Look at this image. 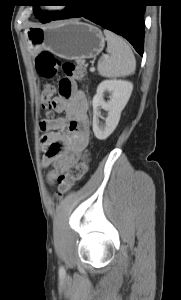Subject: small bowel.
<instances>
[{
    "label": "small bowel",
    "instance_id": "small-bowel-1",
    "mask_svg": "<svg viewBox=\"0 0 181 300\" xmlns=\"http://www.w3.org/2000/svg\"><path fill=\"white\" fill-rule=\"evenodd\" d=\"M60 93L52 100L53 111L65 116L45 119L42 129L44 155L42 166H52L48 180L54 183L57 175L75 163L89 141L88 101L74 81L63 79L59 84ZM41 122V123H42ZM40 123V127H41Z\"/></svg>",
    "mask_w": 181,
    "mask_h": 300
}]
</instances>
